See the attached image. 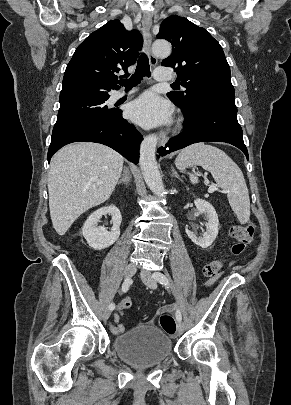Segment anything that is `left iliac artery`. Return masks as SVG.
Listing matches in <instances>:
<instances>
[{"label":"left iliac artery","mask_w":291,"mask_h":405,"mask_svg":"<svg viewBox=\"0 0 291 405\" xmlns=\"http://www.w3.org/2000/svg\"><path fill=\"white\" fill-rule=\"evenodd\" d=\"M153 277H154L160 284L164 285L165 287H167V288L170 287V282H169L168 278H167L164 274H162V273H160V272H155V273L153 274ZM176 319H177L178 321H181V320H182V315H181V312H180L179 309L176 310Z\"/></svg>","instance_id":"obj_1"}]
</instances>
